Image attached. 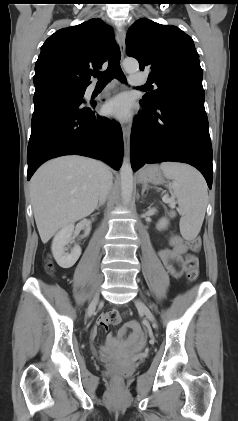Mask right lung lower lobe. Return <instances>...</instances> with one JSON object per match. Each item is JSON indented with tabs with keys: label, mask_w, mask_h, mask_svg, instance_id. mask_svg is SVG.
<instances>
[{
	"label": "right lung lower lobe",
	"mask_w": 238,
	"mask_h": 421,
	"mask_svg": "<svg viewBox=\"0 0 238 421\" xmlns=\"http://www.w3.org/2000/svg\"><path fill=\"white\" fill-rule=\"evenodd\" d=\"M84 93L56 84L36 86L31 136L27 149L30 180L45 161L78 154L105 161L119 170L123 136L119 124L95 114V103L84 104Z\"/></svg>",
	"instance_id": "98d812e1"
}]
</instances>
